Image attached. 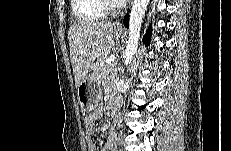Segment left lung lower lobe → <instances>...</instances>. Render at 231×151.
<instances>
[{
	"instance_id": "left-lung-lower-lobe-1",
	"label": "left lung lower lobe",
	"mask_w": 231,
	"mask_h": 151,
	"mask_svg": "<svg viewBox=\"0 0 231 151\" xmlns=\"http://www.w3.org/2000/svg\"><path fill=\"white\" fill-rule=\"evenodd\" d=\"M124 25L128 28L129 27V15L127 14L123 20ZM150 37H151V28L148 29L147 33L144 36L143 42L146 46L150 43Z\"/></svg>"
}]
</instances>
